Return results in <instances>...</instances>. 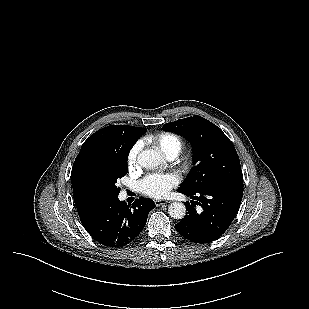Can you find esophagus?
Wrapping results in <instances>:
<instances>
[{"label":"esophagus","instance_id":"34e87169","mask_svg":"<svg viewBox=\"0 0 309 309\" xmlns=\"http://www.w3.org/2000/svg\"><path fill=\"white\" fill-rule=\"evenodd\" d=\"M169 201L168 200H155V205L157 207L161 206V205H165V204H168Z\"/></svg>","mask_w":309,"mask_h":309}]
</instances>
